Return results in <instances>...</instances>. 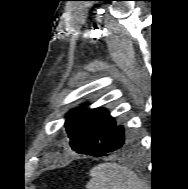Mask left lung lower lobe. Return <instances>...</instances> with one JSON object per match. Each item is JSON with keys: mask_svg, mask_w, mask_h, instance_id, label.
<instances>
[{"mask_svg": "<svg viewBox=\"0 0 188 189\" xmlns=\"http://www.w3.org/2000/svg\"><path fill=\"white\" fill-rule=\"evenodd\" d=\"M124 145L123 127H116L97 147L89 154L90 156L100 157L107 155L109 152H114Z\"/></svg>", "mask_w": 188, "mask_h": 189, "instance_id": "1", "label": "left lung lower lobe"}]
</instances>
